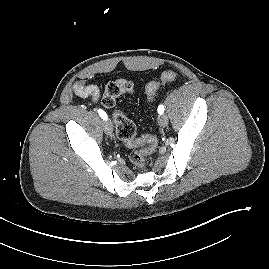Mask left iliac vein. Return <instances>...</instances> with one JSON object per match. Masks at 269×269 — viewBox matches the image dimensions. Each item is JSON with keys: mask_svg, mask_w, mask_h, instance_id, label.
<instances>
[{"mask_svg": "<svg viewBox=\"0 0 269 269\" xmlns=\"http://www.w3.org/2000/svg\"><path fill=\"white\" fill-rule=\"evenodd\" d=\"M158 123L161 127H166L168 125V117L165 114H161L158 118Z\"/></svg>", "mask_w": 269, "mask_h": 269, "instance_id": "obj_1", "label": "left iliac vein"}]
</instances>
